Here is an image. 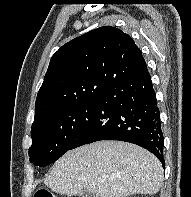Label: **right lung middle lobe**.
<instances>
[{"mask_svg": "<svg viewBox=\"0 0 191 197\" xmlns=\"http://www.w3.org/2000/svg\"><path fill=\"white\" fill-rule=\"evenodd\" d=\"M98 106L97 101L78 104L59 111L32 126L30 162L44 167L55 162L76 141Z\"/></svg>", "mask_w": 191, "mask_h": 197, "instance_id": "obj_1", "label": "right lung middle lobe"}]
</instances>
